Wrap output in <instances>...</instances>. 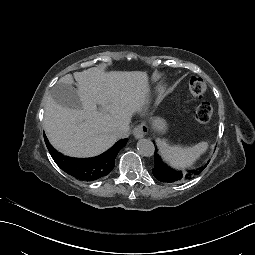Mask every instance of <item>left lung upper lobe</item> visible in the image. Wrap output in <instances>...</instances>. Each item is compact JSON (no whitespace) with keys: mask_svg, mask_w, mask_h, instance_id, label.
Masks as SVG:
<instances>
[{"mask_svg":"<svg viewBox=\"0 0 255 255\" xmlns=\"http://www.w3.org/2000/svg\"><path fill=\"white\" fill-rule=\"evenodd\" d=\"M154 158H159V156L157 155L156 152H155ZM160 163H163L162 160H160ZM165 165H166V164H165ZM205 167H206V166H205ZM166 168H169V169H171L172 171H176V170H174V169L168 167L167 165H166ZM203 169H204V168H201V171H202ZM201 171H197V173H194V174H199ZM156 179H158V178H156ZM186 179H187V178H186ZM159 181H161V180H159ZM180 181H182V180H179L178 182H180ZM161 182H162V181H161Z\"/></svg>","mask_w":255,"mask_h":255,"instance_id":"left-lung-upper-lobe-1","label":"left lung upper lobe"}]
</instances>
